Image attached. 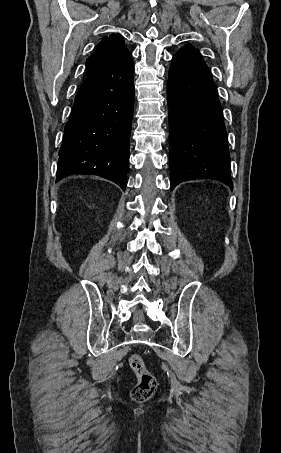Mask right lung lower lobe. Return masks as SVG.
I'll return each instance as SVG.
<instances>
[{
    "label": "right lung lower lobe",
    "instance_id": "right-lung-lower-lobe-1",
    "mask_svg": "<svg viewBox=\"0 0 281 453\" xmlns=\"http://www.w3.org/2000/svg\"><path fill=\"white\" fill-rule=\"evenodd\" d=\"M134 108L130 52L86 76L78 91L59 151L56 182L72 175H98L126 187Z\"/></svg>",
    "mask_w": 281,
    "mask_h": 453
}]
</instances>
